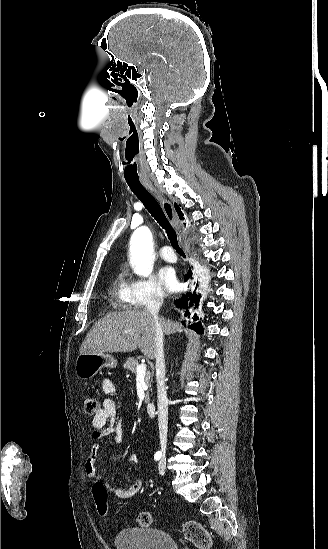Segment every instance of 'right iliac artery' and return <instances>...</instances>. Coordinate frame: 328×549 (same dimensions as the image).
I'll return each instance as SVG.
<instances>
[{
  "mask_svg": "<svg viewBox=\"0 0 328 549\" xmlns=\"http://www.w3.org/2000/svg\"><path fill=\"white\" fill-rule=\"evenodd\" d=\"M161 456H162V454L159 453V452H157V453H155V455H154V459L157 461V460H159V459L161 458Z\"/></svg>",
  "mask_w": 328,
  "mask_h": 549,
  "instance_id": "right-iliac-artery-1",
  "label": "right iliac artery"
}]
</instances>
